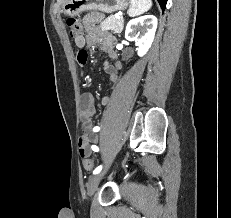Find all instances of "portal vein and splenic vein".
Returning <instances> with one entry per match:
<instances>
[{"label":"portal vein and splenic vein","mask_w":231,"mask_h":218,"mask_svg":"<svg viewBox=\"0 0 231 218\" xmlns=\"http://www.w3.org/2000/svg\"><path fill=\"white\" fill-rule=\"evenodd\" d=\"M116 18H118V19L121 18V15L117 14V15H116Z\"/></svg>","instance_id":"portal-vein-and-splenic-vein-1"}]
</instances>
